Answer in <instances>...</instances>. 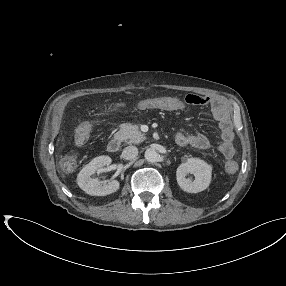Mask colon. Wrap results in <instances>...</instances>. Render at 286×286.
Masks as SVG:
<instances>
[{
    "label": "colon",
    "instance_id": "obj_1",
    "mask_svg": "<svg viewBox=\"0 0 286 286\" xmlns=\"http://www.w3.org/2000/svg\"><path fill=\"white\" fill-rule=\"evenodd\" d=\"M90 130L91 127L87 123L82 124L76 132L75 142L77 144H84L89 137ZM63 161L66 166L73 167L76 163V158L73 155H66ZM226 169L228 172H234L236 170V164L234 162H229L226 165Z\"/></svg>",
    "mask_w": 286,
    "mask_h": 286
}]
</instances>
